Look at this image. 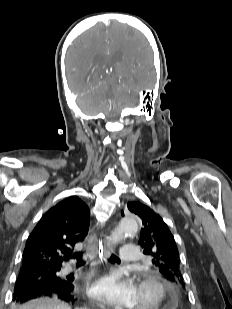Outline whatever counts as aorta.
Wrapping results in <instances>:
<instances>
[{"mask_svg":"<svg viewBox=\"0 0 232 309\" xmlns=\"http://www.w3.org/2000/svg\"><path fill=\"white\" fill-rule=\"evenodd\" d=\"M139 229L138 221L135 217H125L121 219L117 228L112 234L111 241L116 244L124 235H132L137 233Z\"/></svg>","mask_w":232,"mask_h":309,"instance_id":"obj_1","label":"aorta"}]
</instances>
